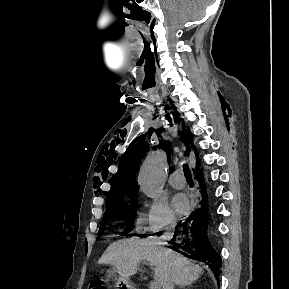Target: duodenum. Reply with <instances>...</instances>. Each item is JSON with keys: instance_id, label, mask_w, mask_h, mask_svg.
I'll list each match as a JSON object with an SVG mask.
<instances>
[{"instance_id": "410a0bca", "label": "duodenum", "mask_w": 289, "mask_h": 289, "mask_svg": "<svg viewBox=\"0 0 289 289\" xmlns=\"http://www.w3.org/2000/svg\"><path fill=\"white\" fill-rule=\"evenodd\" d=\"M130 289H136V288L131 287Z\"/></svg>"}]
</instances>
